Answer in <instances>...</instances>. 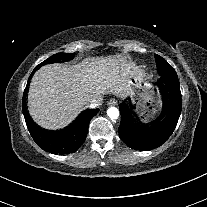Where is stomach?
Here are the masks:
<instances>
[{
  "label": "stomach",
  "mask_w": 207,
  "mask_h": 207,
  "mask_svg": "<svg viewBox=\"0 0 207 207\" xmlns=\"http://www.w3.org/2000/svg\"><path fill=\"white\" fill-rule=\"evenodd\" d=\"M129 85L136 114L143 123L151 122L162 107L160 94L150 83L138 79L130 81Z\"/></svg>",
  "instance_id": "obj_1"
}]
</instances>
